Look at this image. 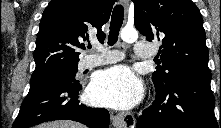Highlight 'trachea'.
Masks as SVG:
<instances>
[{"instance_id":"obj_1","label":"trachea","mask_w":221,"mask_h":128,"mask_svg":"<svg viewBox=\"0 0 221 128\" xmlns=\"http://www.w3.org/2000/svg\"><path fill=\"white\" fill-rule=\"evenodd\" d=\"M124 10L122 5H116L113 9L110 31L108 38V45L112 46L118 41L119 31L123 23ZM91 48V45H88Z\"/></svg>"}]
</instances>
